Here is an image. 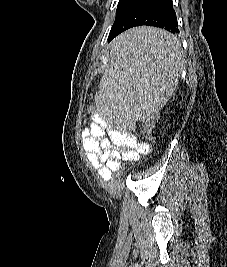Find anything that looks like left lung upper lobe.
I'll return each mask as SVG.
<instances>
[{
    "label": "left lung upper lobe",
    "mask_w": 227,
    "mask_h": 267,
    "mask_svg": "<svg viewBox=\"0 0 227 267\" xmlns=\"http://www.w3.org/2000/svg\"><path fill=\"white\" fill-rule=\"evenodd\" d=\"M126 1H127V0H119L117 9H118L121 5H123Z\"/></svg>",
    "instance_id": "left-lung-upper-lobe-1"
}]
</instances>
